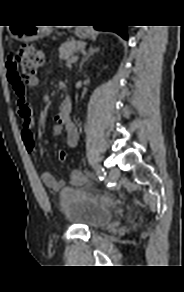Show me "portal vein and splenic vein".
Returning <instances> with one entry per match:
<instances>
[{
    "label": "portal vein and splenic vein",
    "mask_w": 184,
    "mask_h": 292,
    "mask_svg": "<svg viewBox=\"0 0 184 292\" xmlns=\"http://www.w3.org/2000/svg\"><path fill=\"white\" fill-rule=\"evenodd\" d=\"M78 60L77 56H73L70 59L67 60L66 66H71V64L75 63Z\"/></svg>",
    "instance_id": "1"
}]
</instances>
